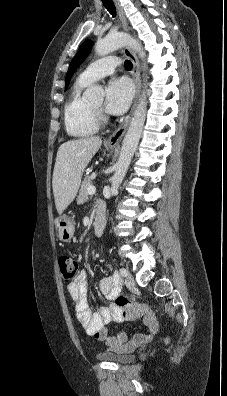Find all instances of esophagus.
Listing matches in <instances>:
<instances>
[{
  "instance_id": "1",
  "label": "esophagus",
  "mask_w": 227,
  "mask_h": 396,
  "mask_svg": "<svg viewBox=\"0 0 227 396\" xmlns=\"http://www.w3.org/2000/svg\"><path fill=\"white\" fill-rule=\"evenodd\" d=\"M114 3L116 6V9L118 11L120 20L122 22L123 29L125 31H129V25H128L127 19L125 17L123 8L121 7L118 0H114ZM124 54L127 58H129L131 60V62L133 64L132 77H133V80L135 83L136 93H135L134 102H133V105L131 107L129 114L125 117V119L121 123V125L107 139V144L111 145V146L118 145L120 143L121 139L123 138V136L128 128V125L131 121V118L134 114V111H135V108H136V105L138 102V98L140 95V89H141L140 67H139V62L137 60V57L129 47L124 48Z\"/></svg>"
}]
</instances>
